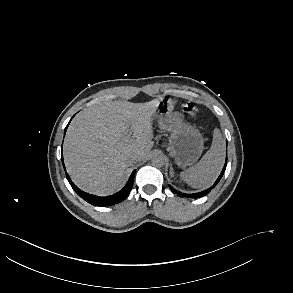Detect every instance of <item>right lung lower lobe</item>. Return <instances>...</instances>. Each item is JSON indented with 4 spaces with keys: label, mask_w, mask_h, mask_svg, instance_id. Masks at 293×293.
<instances>
[{
    "label": "right lung lower lobe",
    "mask_w": 293,
    "mask_h": 293,
    "mask_svg": "<svg viewBox=\"0 0 293 293\" xmlns=\"http://www.w3.org/2000/svg\"><path fill=\"white\" fill-rule=\"evenodd\" d=\"M67 127L65 128V132H66ZM62 162H63V155H62ZM135 171L136 170H134L132 172L127 184L124 186L123 189H121L119 192H117L111 196H107V197H99V196H95V195H91L86 192H83L71 181V179L69 178L67 173H66V176H67V179H68L70 185L72 186L73 190L81 198H83L85 201H87L88 203H90L92 205H96V206H109V205H114V204H117V203L123 201L128 196V194L133 186Z\"/></svg>",
    "instance_id": "98d812e1"
}]
</instances>
